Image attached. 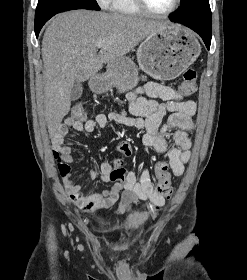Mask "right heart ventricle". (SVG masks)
Listing matches in <instances>:
<instances>
[{
	"mask_svg": "<svg viewBox=\"0 0 247 280\" xmlns=\"http://www.w3.org/2000/svg\"><path fill=\"white\" fill-rule=\"evenodd\" d=\"M111 11L121 15H140L142 11L136 5L135 0H110Z\"/></svg>",
	"mask_w": 247,
	"mask_h": 280,
	"instance_id": "e07e8e85",
	"label": "right heart ventricle"
}]
</instances>
